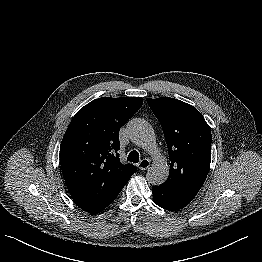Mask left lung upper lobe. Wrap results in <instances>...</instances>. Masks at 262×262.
<instances>
[{
  "label": "left lung upper lobe",
  "mask_w": 262,
  "mask_h": 262,
  "mask_svg": "<svg viewBox=\"0 0 262 262\" xmlns=\"http://www.w3.org/2000/svg\"><path fill=\"white\" fill-rule=\"evenodd\" d=\"M147 103L162 125L170 171L163 185L196 196L211 161V130L201 113L180 100L161 97Z\"/></svg>",
  "instance_id": "left-lung-upper-lobe-1"
}]
</instances>
